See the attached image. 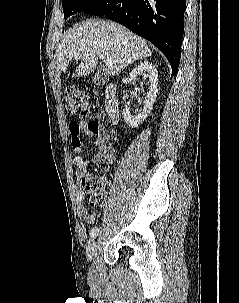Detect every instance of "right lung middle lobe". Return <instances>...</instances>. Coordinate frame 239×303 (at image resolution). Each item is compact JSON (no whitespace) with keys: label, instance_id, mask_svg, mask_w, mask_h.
Wrapping results in <instances>:
<instances>
[{"label":"right lung middle lobe","instance_id":"dd1d6c3e","mask_svg":"<svg viewBox=\"0 0 239 303\" xmlns=\"http://www.w3.org/2000/svg\"><path fill=\"white\" fill-rule=\"evenodd\" d=\"M105 0H63V12L65 20L77 12L90 13L100 6Z\"/></svg>","mask_w":239,"mask_h":303}]
</instances>
